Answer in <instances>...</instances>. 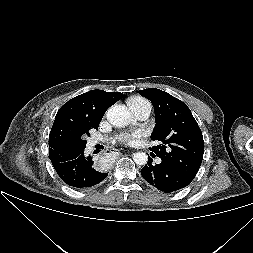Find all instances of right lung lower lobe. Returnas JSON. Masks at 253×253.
<instances>
[{
	"label": "right lung lower lobe",
	"mask_w": 253,
	"mask_h": 253,
	"mask_svg": "<svg viewBox=\"0 0 253 253\" xmlns=\"http://www.w3.org/2000/svg\"><path fill=\"white\" fill-rule=\"evenodd\" d=\"M49 158L59 177L74 188L92 187L108 176L93 165L91 156L85 157L84 149L67 156L53 154Z\"/></svg>",
	"instance_id": "obj_1"
}]
</instances>
